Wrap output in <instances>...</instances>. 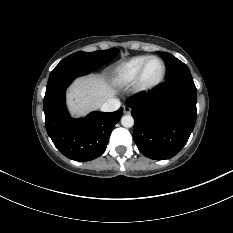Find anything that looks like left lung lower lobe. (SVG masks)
Wrapping results in <instances>:
<instances>
[{
    "label": "left lung lower lobe",
    "mask_w": 233,
    "mask_h": 233,
    "mask_svg": "<svg viewBox=\"0 0 233 233\" xmlns=\"http://www.w3.org/2000/svg\"><path fill=\"white\" fill-rule=\"evenodd\" d=\"M197 89L193 79H176L127 100L135 123L138 149L155 160L175 156L187 143L196 122Z\"/></svg>",
    "instance_id": "obj_1"
}]
</instances>
